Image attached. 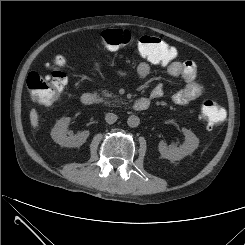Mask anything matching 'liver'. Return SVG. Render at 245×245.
Listing matches in <instances>:
<instances>
[{
    "label": "liver",
    "instance_id": "liver-1",
    "mask_svg": "<svg viewBox=\"0 0 245 245\" xmlns=\"http://www.w3.org/2000/svg\"><path fill=\"white\" fill-rule=\"evenodd\" d=\"M30 122L33 128L38 126V113L34 108L30 111Z\"/></svg>",
    "mask_w": 245,
    "mask_h": 245
}]
</instances>
